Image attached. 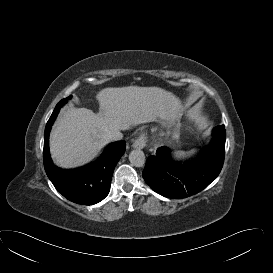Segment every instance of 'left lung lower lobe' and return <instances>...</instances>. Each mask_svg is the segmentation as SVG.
Segmentation results:
<instances>
[{
	"label": "left lung lower lobe",
	"mask_w": 273,
	"mask_h": 273,
	"mask_svg": "<svg viewBox=\"0 0 273 273\" xmlns=\"http://www.w3.org/2000/svg\"><path fill=\"white\" fill-rule=\"evenodd\" d=\"M225 157V145L212 141L200 154L187 162L172 158L171 150L160 147L147 159L142 173L156 193L168 198L192 196L213 182L219 175Z\"/></svg>",
	"instance_id": "obj_1"
}]
</instances>
